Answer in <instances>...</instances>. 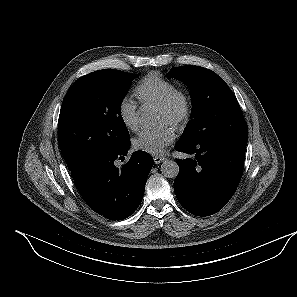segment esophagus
<instances>
[{"label": "esophagus", "mask_w": 297, "mask_h": 297, "mask_svg": "<svg viewBox=\"0 0 297 297\" xmlns=\"http://www.w3.org/2000/svg\"><path fill=\"white\" fill-rule=\"evenodd\" d=\"M153 160H154V163H155V164H160L161 162H163V161L165 160V157H162V156H155V157L153 158Z\"/></svg>", "instance_id": "34e87169"}]
</instances>
